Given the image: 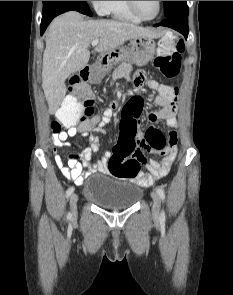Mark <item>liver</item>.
Segmentation results:
<instances>
[{
    "instance_id": "6515ba94",
    "label": "liver",
    "mask_w": 233,
    "mask_h": 295,
    "mask_svg": "<svg viewBox=\"0 0 233 295\" xmlns=\"http://www.w3.org/2000/svg\"><path fill=\"white\" fill-rule=\"evenodd\" d=\"M158 38L160 34L132 23L116 20H84L76 11L56 17L50 24L43 53L42 88L50 114H54L66 94L67 78L89 61L90 43L98 39L96 52L116 49L136 37Z\"/></svg>"
}]
</instances>
